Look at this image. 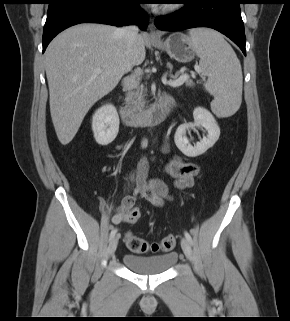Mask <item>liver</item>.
<instances>
[{"mask_svg":"<svg viewBox=\"0 0 290 321\" xmlns=\"http://www.w3.org/2000/svg\"><path fill=\"white\" fill-rule=\"evenodd\" d=\"M119 30L104 24H78L57 35L46 49L50 113L62 145L72 141L94 103L145 60L144 37L138 34L128 45ZM97 68L102 72L94 74Z\"/></svg>","mask_w":290,"mask_h":321,"instance_id":"obj_1","label":"liver"}]
</instances>
